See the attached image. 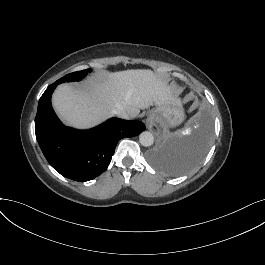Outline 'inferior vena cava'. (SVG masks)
I'll list each match as a JSON object with an SVG mask.
<instances>
[{
  "label": "inferior vena cava",
  "instance_id": "1",
  "mask_svg": "<svg viewBox=\"0 0 265 265\" xmlns=\"http://www.w3.org/2000/svg\"><path fill=\"white\" fill-rule=\"evenodd\" d=\"M112 114H115V115H117L118 117H120L122 119H129V114L126 111V109L123 108V107H119V108L113 110Z\"/></svg>",
  "mask_w": 265,
  "mask_h": 265
}]
</instances>
